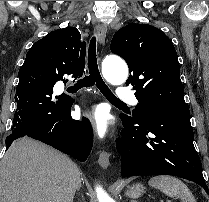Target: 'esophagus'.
<instances>
[{"label": "esophagus", "mask_w": 209, "mask_h": 202, "mask_svg": "<svg viewBox=\"0 0 209 202\" xmlns=\"http://www.w3.org/2000/svg\"><path fill=\"white\" fill-rule=\"evenodd\" d=\"M95 34L98 43L103 45L107 34V27L102 23H98L95 27ZM98 163L103 169H107L110 165V154L106 151H101L99 154Z\"/></svg>", "instance_id": "obj_1"}]
</instances>
